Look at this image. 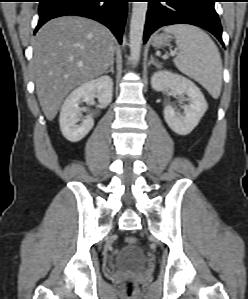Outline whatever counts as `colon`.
<instances>
[{
	"instance_id": "colon-1",
	"label": "colon",
	"mask_w": 248,
	"mask_h": 299,
	"mask_svg": "<svg viewBox=\"0 0 248 299\" xmlns=\"http://www.w3.org/2000/svg\"><path fill=\"white\" fill-rule=\"evenodd\" d=\"M125 243L128 245H135L137 243V238L133 235L125 237ZM125 292L127 295H132L136 290V284L133 281H127L124 285Z\"/></svg>"
}]
</instances>
